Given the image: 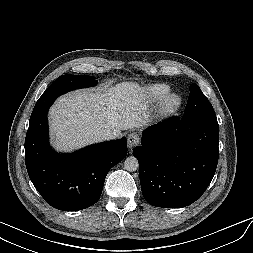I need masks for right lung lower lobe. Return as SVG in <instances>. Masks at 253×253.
<instances>
[{
  "mask_svg": "<svg viewBox=\"0 0 253 253\" xmlns=\"http://www.w3.org/2000/svg\"><path fill=\"white\" fill-rule=\"evenodd\" d=\"M47 112L29 121L25 138L28 175L52 207L63 211L90 207L100 198L109 170L126 157V138L59 154L48 143Z\"/></svg>",
  "mask_w": 253,
  "mask_h": 253,
  "instance_id": "1",
  "label": "right lung lower lobe"
}]
</instances>
